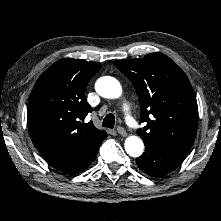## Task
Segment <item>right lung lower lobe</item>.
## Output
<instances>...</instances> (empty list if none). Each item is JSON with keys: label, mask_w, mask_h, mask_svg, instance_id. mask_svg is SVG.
I'll return each mask as SVG.
<instances>
[{"label": "right lung lower lobe", "mask_w": 221, "mask_h": 221, "mask_svg": "<svg viewBox=\"0 0 221 221\" xmlns=\"http://www.w3.org/2000/svg\"><path fill=\"white\" fill-rule=\"evenodd\" d=\"M105 138L106 137L100 138L87 146L67 152L58 158L47 159V161L54 168L66 174L73 175L80 173L87 169L95 160L99 147Z\"/></svg>", "instance_id": "right-lung-lower-lobe-1"}]
</instances>
